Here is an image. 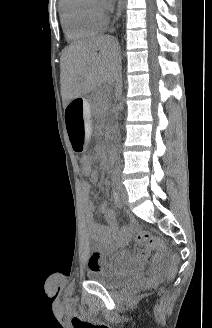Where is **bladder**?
<instances>
[{"label": "bladder", "instance_id": "1", "mask_svg": "<svg viewBox=\"0 0 212 328\" xmlns=\"http://www.w3.org/2000/svg\"><path fill=\"white\" fill-rule=\"evenodd\" d=\"M89 280L98 282L108 289H121L135 280L137 274L117 272L112 270H90L87 272Z\"/></svg>", "mask_w": 212, "mask_h": 328}]
</instances>
